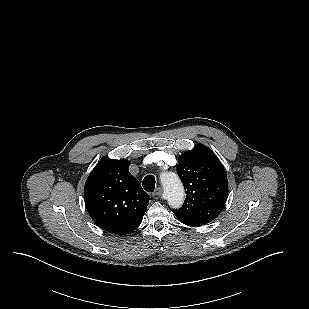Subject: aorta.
<instances>
[{
  "label": "aorta",
  "mask_w": 309,
  "mask_h": 309,
  "mask_svg": "<svg viewBox=\"0 0 309 309\" xmlns=\"http://www.w3.org/2000/svg\"><path fill=\"white\" fill-rule=\"evenodd\" d=\"M161 183L166 195L168 204L172 208H179L184 202V187L178 176L173 172H166L161 175Z\"/></svg>",
  "instance_id": "762f6f07"
}]
</instances>
